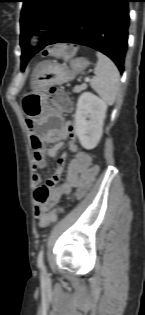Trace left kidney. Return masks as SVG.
Returning a JSON list of instances; mask_svg holds the SVG:
<instances>
[{
	"mask_svg": "<svg viewBox=\"0 0 145 315\" xmlns=\"http://www.w3.org/2000/svg\"><path fill=\"white\" fill-rule=\"evenodd\" d=\"M107 104L90 92L80 95L75 113L76 134L80 144L91 150L99 143L103 123L106 117Z\"/></svg>",
	"mask_w": 145,
	"mask_h": 315,
	"instance_id": "obj_1",
	"label": "left kidney"
}]
</instances>
